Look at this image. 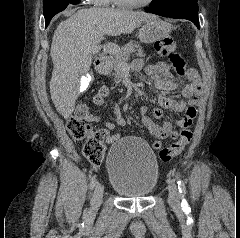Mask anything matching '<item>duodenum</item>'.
I'll list each match as a JSON object with an SVG mask.
<instances>
[{
    "mask_svg": "<svg viewBox=\"0 0 240 238\" xmlns=\"http://www.w3.org/2000/svg\"><path fill=\"white\" fill-rule=\"evenodd\" d=\"M95 67L97 71L103 75H107L109 73V61L106 58H97L95 61Z\"/></svg>",
    "mask_w": 240,
    "mask_h": 238,
    "instance_id": "1",
    "label": "duodenum"
}]
</instances>
